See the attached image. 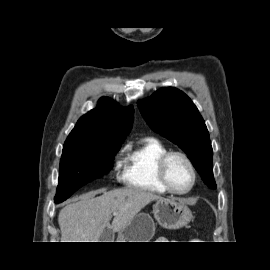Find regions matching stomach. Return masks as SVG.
<instances>
[{
	"label": "stomach",
	"mask_w": 270,
	"mask_h": 270,
	"mask_svg": "<svg viewBox=\"0 0 270 270\" xmlns=\"http://www.w3.org/2000/svg\"><path fill=\"white\" fill-rule=\"evenodd\" d=\"M153 213L159 225L171 230L187 225L192 219L189 207L175 199H158L153 206ZM154 232L155 223L152 217L140 212L118 232L117 242H149Z\"/></svg>",
	"instance_id": "stomach-1"
}]
</instances>
